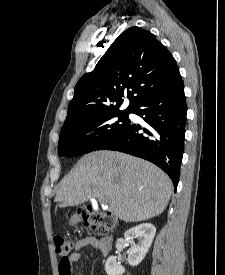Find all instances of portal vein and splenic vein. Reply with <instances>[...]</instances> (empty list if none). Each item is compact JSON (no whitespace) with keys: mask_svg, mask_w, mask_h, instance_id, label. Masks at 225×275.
<instances>
[{"mask_svg":"<svg viewBox=\"0 0 225 275\" xmlns=\"http://www.w3.org/2000/svg\"><path fill=\"white\" fill-rule=\"evenodd\" d=\"M91 201H95V199H91Z\"/></svg>","mask_w":225,"mask_h":275,"instance_id":"18ae733b","label":"portal vein and splenic vein"}]
</instances>
